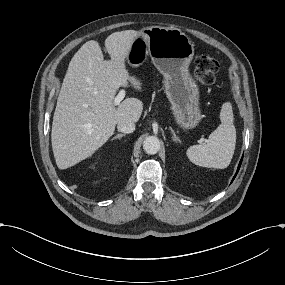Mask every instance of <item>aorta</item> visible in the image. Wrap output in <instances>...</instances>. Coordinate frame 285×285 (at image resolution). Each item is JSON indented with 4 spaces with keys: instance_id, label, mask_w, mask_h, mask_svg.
Returning <instances> with one entry per match:
<instances>
[{
    "instance_id": "1",
    "label": "aorta",
    "mask_w": 285,
    "mask_h": 285,
    "mask_svg": "<svg viewBox=\"0 0 285 285\" xmlns=\"http://www.w3.org/2000/svg\"><path fill=\"white\" fill-rule=\"evenodd\" d=\"M143 149L147 154H156L160 149V141L156 136H149L143 142Z\"/></svg>"
}]
</instances>
